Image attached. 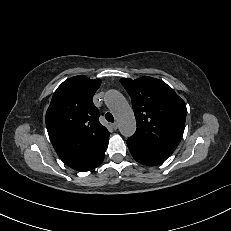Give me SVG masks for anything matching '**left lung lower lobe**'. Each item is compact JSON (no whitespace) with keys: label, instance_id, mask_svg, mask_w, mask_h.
<instances>
[{"label":"left lung lower lobe","instance_id":"obj_1","mask_svg":"<svg viewBox=\"0 0 231 231\" xmlns=\"http://www.w3.org/2000/svg\"><path fill=\"white\" fill-rule=\"evenodd\" d=\"M128 148L133 156V158L144 165L155 166L164 162L171 154L158 152L148 149L139 143L127 140Z\"/></svg>","mask_w":231,"mask_h":231}]
</instances>
